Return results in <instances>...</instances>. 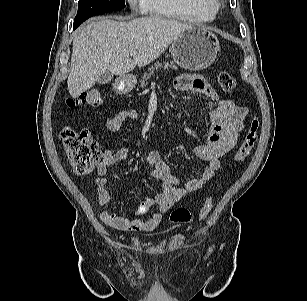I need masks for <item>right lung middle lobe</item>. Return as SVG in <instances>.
I'll list each match as a JSON object with an SVG mask.
<instances>
[{"mask_svg": "<svg viewBox=\"0 0 307 301\" xmlns=\"http://www.w3.org/2000/svg\"><path fill=\"white\" fill-rule=\"evenodd\" d=\"M124 6V0H79L78 12L74 20V25L79 26L93 15L120 10Z\"/></svg>", "mask_w": 307, "mask_h": 301, "instance_id": "dd1d6c3e", "label": "right lung middle lobe"}]
</instances>
